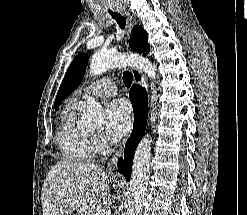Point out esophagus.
Segmentation results:
<instances>
[{
	"instance_id": "obj_1",
	"label": "esophagus",
	"mask_w": 247,
	"mask_h": 215,
	"mask_svg": "<svg viewBox=\"0 0 247 215\" xmlns=\"http://www.w3.org/2000/svg\"><path fill=\"white\" fill-rule=\"evenodd\" d=\"M125 14L127 15L130 25H129V32L131 30L132 25L135 23V21L133 20V17L130 15L129 12L124 11ZM131 73L133 76V83L138 85V86H146V80L145 77L142 75L141 71L135 67L131 68ZM124 149V147L120 148V152H122V150ZM109 171H114L116 169V156H114L109 162H108V166H107Z\"/></svg>"
}]
</instances>
